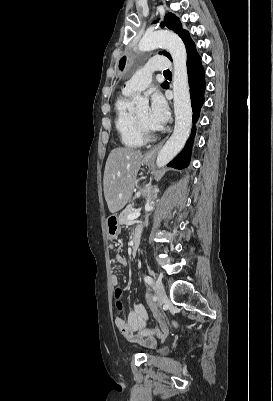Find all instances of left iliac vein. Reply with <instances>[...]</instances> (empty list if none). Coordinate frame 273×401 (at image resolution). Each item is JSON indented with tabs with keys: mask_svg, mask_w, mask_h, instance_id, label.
<instances>
[{
	"mask_svg": "<svg viewBox=\"0 0 273 401\" xmlns=\"http://www.w3.org/2000/svg\"><path fill=\"white\" fill-rule=\"evenodd\" d=\"M155 291H156V295L159 300V306L161 307L165 302L166 292H165L164 286L162 284V281L160 279H157L155 281Z\"/></svg>",
	"mask_w": 273,
	"mask_h": 401,
	"instance_id": "left-iliac-vein-1",
	"label": "left iliac vein"
}]
</instances>
